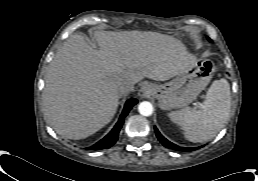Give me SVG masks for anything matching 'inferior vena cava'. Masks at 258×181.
I'll list each match as a JSON object with an SVG mask.
<instances>
[{
  "label": "inferior vena cava",
  "mask_w": 258,
  "mask_h": 181,
  "mask_svg": "<svg viewBox=\"0 0 258 181\" xmlns=\"http://www.w3.org/2000/svg\"><path fill=\"white\" fill-rule=\"evenodd\" d=\"M134 91V85L131 83L123 84L119 87V94L120 96L126 95L127 93Z\"/></svg>",
  "instance_id": "1"
}]
</instances>
